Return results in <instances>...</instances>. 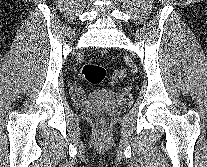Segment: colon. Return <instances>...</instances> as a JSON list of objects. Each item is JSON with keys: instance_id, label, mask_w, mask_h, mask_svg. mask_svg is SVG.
Instances as JSON below:
<instances>
[{"instance_id": "1", "label": "colon", "mask_w": 207, "mask_h": 167, "mask_svg": "<svg viewBox=\"0 0 207 167\" xmlns=\"http://www.w3.org/2000/svg\"><path fill=\"white\" fill-rule=\"evenodd\" d=\"M80 75L88 83L97 85L104 81L106 71L105 68L100 65L88 63L81 68ZM126 75H127V71L125 69L121 68L116 70L111 77L110 80L111 84L112 85L117 84L119 81L124 79ZM102 118L103 115L99 114V119Z\"/></svg>"}]
</instances>
